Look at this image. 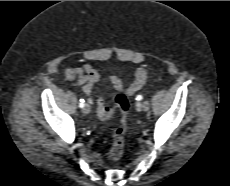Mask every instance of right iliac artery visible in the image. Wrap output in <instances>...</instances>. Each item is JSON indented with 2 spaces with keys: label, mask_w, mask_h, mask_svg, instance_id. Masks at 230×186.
Wrapping results in <instances>:
<instances>
[{
  "label": "right iliac artery",
  "mask_w": 230,
  "mask_h": 186,
  "mask_svg": "<svg viewBox=\"0 0 230 186\" xmlns=\"http://www.w3.org/2000/svg\"><path fill=\"white\" fill-rule=\"evenodd\" d=\"M84 102H85L84 99H80L79 106H80L81 108L84 107V105H85Z\"/></svg>",
  "instance_id": "obj_1"
}]
</instances>
